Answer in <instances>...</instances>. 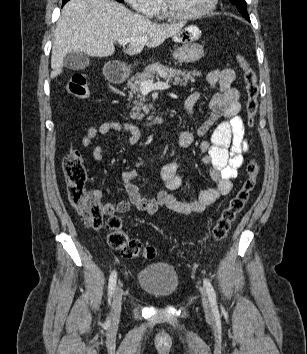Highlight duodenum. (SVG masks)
I'll list each match as a JSON object with an SVG mask.
<instances>
[{
	"label": "duodenum",
	"instance_id": "410a0bca",
	"mask_svg": "<svg viewBox=\"0 0 307 354\" xmlns=\"http://www.w3.org/2000/svg\"><path fill=\"white\" fill-rule=\"evenodd\" d=\"M107 77L109 81H111L112 83H121L125 79L123 72L116 67H110L107 70ZM163 122H164L163 116H156L146 121L144 125L148 127H152V126L160 125Z\"/></svg>",
	"mask_w": 307,
	"mask_h": 354
}]
</instances>
